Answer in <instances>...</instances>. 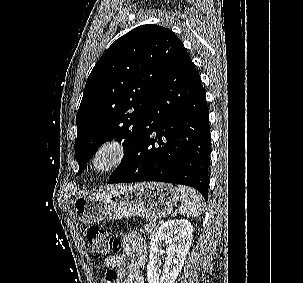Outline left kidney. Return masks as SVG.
<instances>
[{
    "label": "left kidney",
    "instance_id": "1",
    "mask_svg": "<svg viewBox=\"0 0 303 283\" xmlns=\"http://www.w3.org/2000/svg\"><path fill=\"white\" fill-rule=\"evenodd\" d=\"M193 226L187 220L168 221L160 226L150 242L148 283H174L182 270L192 240ZM167 246L166 252L163 247ZM166 253L163 269L160 256Z\"/></svg>",
    "mask_w": 303,
    "mask_h": 283
}]
</instances>
